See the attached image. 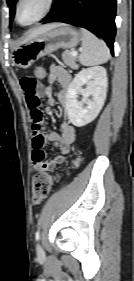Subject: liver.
Masks as SVG:
<instances>
[{"instance_id":"obj_1","label":"liver","mask_w":134,"mask_h":281,"mask_svg":"<svg viewBox=\"0 0 134 281\" xmlns=\"http://www.w3.org/2000/svg\"><path fill=\"white\" fill-rule=\"evenodd\" d=\"M56 26H57V24H48V25H43L39 28L33 29L22 43L30 41L31 39L35 38L36 36L46 32Z\"/></svg>"}]
</instances>
